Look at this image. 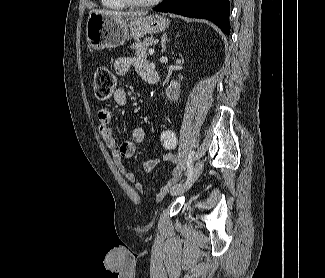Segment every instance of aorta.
<instances>
[{
	"label": "aorta",
	"instance_id": "1",
	"mask_svg": "<svg viewBox=\"0 0 325 278\" xmlns=\"http://www.w3.org/2000/svg\"><path fill=\"white\" fill-rule=\"evenodd\" d=\"M171 86L173 87V88H177L178 87V83L177 82H175V81H173L172 83H171Z\"/></svg>",
	"mask_w": 325,
	"mask_h": 278
}]
</instances>
